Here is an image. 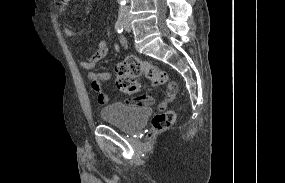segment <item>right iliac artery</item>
<instances>
[{
  "mask_svg": "<svg viewBox=\"0 0 285 183\" xmlns=\"http://www.w3.org/2000/svg\"><path fill=\"white\" fill-rule=\"evenodd\" d=\"M115 29L118 33H122L123 32V29H124V23H123V20L121 18V16L118 18V20L116 21V24H115Z\"/></svg>",
  "mask_w": 285,
  "mask_h": 183,
  "instance_id": "obj_1",
  "label": "right iliac artery"
}]
</instances>
